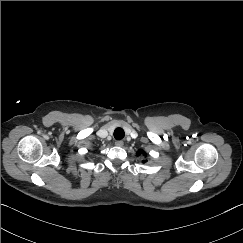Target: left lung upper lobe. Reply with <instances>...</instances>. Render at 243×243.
<instances>
[{"label": "left lung upper lobe", "mask_w": 243, "mask_h": 243, "mask_svg": "<svg viewBox=\"0 0 243 243\" xmlns=\"http://www.w3.org/2000/svg\"><path fill=\"white\" fill-rule=\"evenodd\" d=\"M144 155V156H146V153H145V151H143V150H139L138 152H137V155Z\"/></svg>", "instance_id": "obj_1"}]
</instances>
